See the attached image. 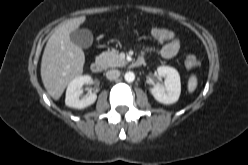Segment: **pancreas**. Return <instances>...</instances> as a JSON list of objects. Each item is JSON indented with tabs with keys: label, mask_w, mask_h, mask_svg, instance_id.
I'll list each match as a JSON object with an SVG mask.
<instances>
[{
	"label": "pancreas",
	"mask_w": 248,
	"mask_h": 165,
	"mask_svg": "<svg viewBox=\"0 0 248 165\" xmlns=\"http://www.w3.org/2000/svg\"><path fill=\"white\" fill-rule=\"evenodd\" d=\"M99 59L103 62L105 68L108 67H122L126 65V61L121 59L117 52L106 51L99 55Z\"/></svg>",
	"instance_id": "pancreas-1"
}]
</instances>
